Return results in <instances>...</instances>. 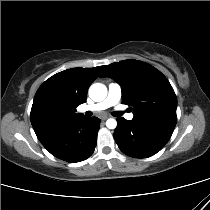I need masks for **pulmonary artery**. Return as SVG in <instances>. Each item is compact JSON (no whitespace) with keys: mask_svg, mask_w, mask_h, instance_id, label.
<instances>
[{"mask_svg":"<svg viewBox=\"0 0 210 210\" xmlns=\"http://www.w3.org/2000/svg\"><path fill=\"white\" fill-rule=\"evenodd\" d=\"M121 95H122V91H121V87L119 84L117 83H111L108 87V94L106 96V98L96 104H92V105H86L84 107H82V111H91V112H100L103 111L105 109H108L109 107H112L114 105H116L120 99H121ZM133 114L132 113H127L125 115V117L128 120L133 119Z\"/></svg>","mask_w":210,"mask_h":210,"instance_id":"pulmonary-artery-1","label":"pulmonary artery"}]
</instances>
